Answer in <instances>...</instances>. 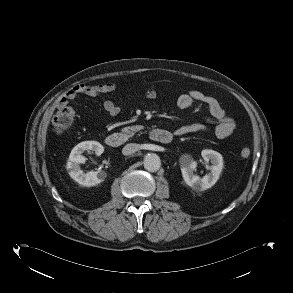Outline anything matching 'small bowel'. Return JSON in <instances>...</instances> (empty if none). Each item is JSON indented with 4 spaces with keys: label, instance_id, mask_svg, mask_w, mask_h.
<instances>
[{
    "label": "small bowel",
    "instance_id": "c3829d8e",
    "mask_svg": "<svg viewBox=\"0 0 293 293\" xmlns=\"http://www.w3.org/2000/svg\"><path fill=\"white\" fill-rule=\"evenodd\" d=\"M116 90V85L113 83L104 84H79L69 89L59 100L58 106L67 105L71 100L80 96L97 97L102 94L112 93ZM157 97L155 86H151L144 94L147 100H154ZM195 103L204 104L211 116L215 120L213 126L214 134L225 139L229 137L235 130L234 120L227 116L219 101L213 96L207 95L204 92L193 89L189 93L182 94L177 99V106L180 109L191 108ZM104 111L110 116H116L120 112V107L112 100H106L103 103ZM209 130V127L202 123H193L179 127L174 134L183 136L191 133L204 132Z\"/></svg>",
    "mask_w": 293,
    "mask_h": 293
}]
</instances>
